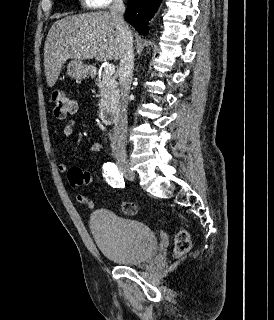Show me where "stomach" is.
Wrapping results in <instances>:
<instances>
[{
  "label": "stomach",
  "mask_w": 274,
  "mask_h": 320,
  "mask_svg": "<svg viewBox=\"0 0 274 320\" xmlns=\"http://www.w3.org/2000/svg\"><path fill=\"white\" fill-rule=\"evenodd\" d=\"M70 66L72 68L71 74L74 78H80V80H83V78H87V76L91 74V68H89V66H85V64L80 62V60H72Z\"/></svg>",
  "instance_id": "1"
}]
</instances>
